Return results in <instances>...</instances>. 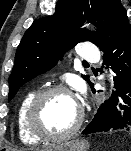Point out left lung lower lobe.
Listing matches in <instances>:
<instances>
[{"label":"left lung lower lobe","instance_id":"1","mask_svg":"<svg viewBox=\"0 0 131 151\" xmlns=\"http://www.w3.org/2000/svg\"><path fill=\"white\" fill-rule=\"evenodd\" d=\"M104 62L116 74V91L102 104L82 134L107 131L131 132V33L104 51ZM95 93L94 84L89 83Z\"/></svg>","mask_w":131,"mask_h":151}]
</instances>
